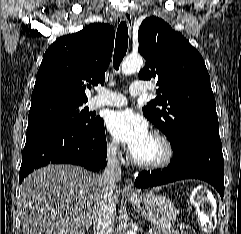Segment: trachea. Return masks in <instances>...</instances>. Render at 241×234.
I'll use <instances>...</instances> for the list:
<instances>
[{
    "instance_id": "trachea-1",
    "label": "trachea",
    "mask_w": 241,
    "mask_h": 234,
    "mask_svg": "<svg viewBox=\"0 0 241 234\" xmlns=\"http://www.w3.org/2000/svg\"><path fill=\"white\" fill-rule=\"evenodd\" d=\"M128 48V27L125 21L118 26L115 40V50L113 56V64L116 70L119 69Z\"/></svg>"
}]
</instances>
